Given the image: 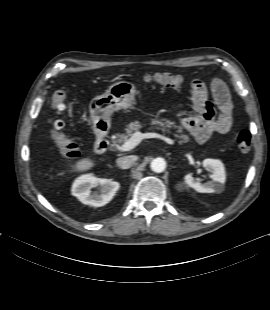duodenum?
Returning <instances> with one entry per match:
<instances>
[{"label": "duodenum", "mask_w": 270, "mask_h": 310, "mask_svg": "<svg viewBox=\"0 0 270 310\" xmlns=\"http://www.w3.org/2000/svg\"><path fill=\"white\" fill-rule=\"evenodd\" d=\"M96 131L98 138L95 144V151L98 154H103L104 152L107 151L109 147V140L107 139V129L104 127L99 128Z\"/></svg>", "instance_id": "duodenum-1"}]
</instances>
